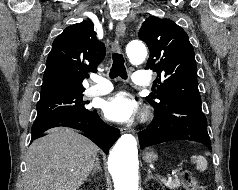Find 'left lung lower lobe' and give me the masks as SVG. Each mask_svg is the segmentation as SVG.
<instances>
[{"mask_svg": "<svg viewBox=\"0 0 238 190\" xmlns=\"http://www.w3.org/2000/svg\"><path fill=\"white\" fill-rule=\"evenodd\" d=\"M139 140L142 149L171 140H190L211 147L201 103L192 102L155 109L153 121L139 132Z\"/></svg>", "mask_w": 238, "mask_h": 190, "instance_id": "1", "label": "left lung lower lobe"}]
</instances>
